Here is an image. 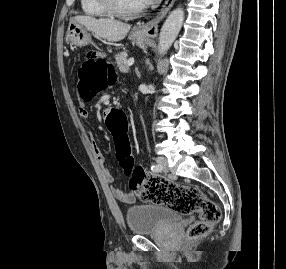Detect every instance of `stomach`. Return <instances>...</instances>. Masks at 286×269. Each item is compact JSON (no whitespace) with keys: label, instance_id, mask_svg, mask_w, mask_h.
I'll return each instance as SVG.
<instances>
[{"label":"stomach","instance_id":"1","mask_svg":"<svg viewBox=\"0 0 286 269\" xmlns=\"http://www.w3.org/2000/svg\"><path fill=\"white\" fill-rule=\"evenodd\" d=\"M129 39L140 48H146L148 40L141 31L133 29L130 32ZM66 41L70 45L82 47L91 42V35L83 25L71 20L66 33Z\"/></svg>","mask_w":286,"mask_h":269}]
</instances>
